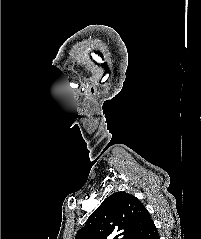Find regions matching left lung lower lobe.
Instances as JSON below:
<instances>
[{
    "mask_svg": "<svg viewBox=\"0 0 201 239\" xmlns=\"http://www.w3.org/2000/svg\"><path fill=\"white\" fill-rule=\"evenodd\" d=\"M136 239H160L158 231L151 220Z\"/></svg>",
    "mask_w": 201,
    "mask_h": 239,
    "instance_id": "obj_1",
    "label": "left lung lower lobe"
}]
</instances>
